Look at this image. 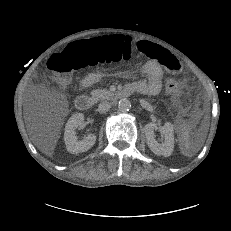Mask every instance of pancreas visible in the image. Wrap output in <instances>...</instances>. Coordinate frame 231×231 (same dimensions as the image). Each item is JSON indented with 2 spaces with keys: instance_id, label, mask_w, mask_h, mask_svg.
I'll list each match as a JSON object with an SVG mask.
<instances>
[{
  "instance_id": "cf45deb5",
  "label": "pancreas",
  "mask_w": 231,
  "mask_h": 231,
  "mask_svg": "<svg viewBox=\"0 0 231 231\" xmlns=\"http://www.w3.org/2000/svg\"><path fill=\"white\" fill-rule=\"evenodd\" d=\"M112 95V92L105 89H96L91 91V96L95 101L108 99Z\"/></svg>"
}]
</instances>
